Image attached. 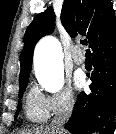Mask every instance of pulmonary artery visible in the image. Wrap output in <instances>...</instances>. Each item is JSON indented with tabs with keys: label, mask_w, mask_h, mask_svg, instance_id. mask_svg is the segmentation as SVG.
Listing matches in <instances>:
<instances>
[{
	"label": "pulmonary artery",
	"mask_w": 116,
	"mask_h": 134,
	"mask_svg": "<svg viewBox=\"0 0 116 134\" xmlns=\"http://www.w3.org/2000/svg\"><path fill=\"white\" fill-rule=\"evenodd\" d=\"M72 58H73V61L78 64V65H82L84 64L85 62V57L84 55L80 52L79 48L77 47L73 54H72Z\"/></svg>",
	"instance_id": "pulmonary-artery-1"
}]
</instances>
